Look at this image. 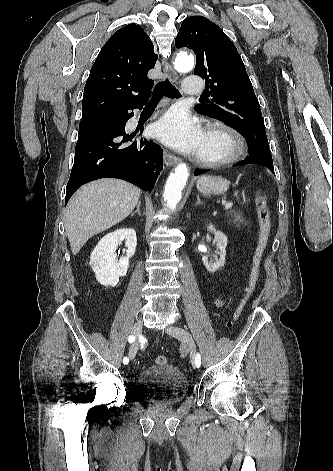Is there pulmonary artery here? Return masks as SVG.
I'll return each instance as SVG.
<instances>
[{"label":"pulmonary artery","mask_w":333,"mask_h":471,"mask_svg":"<svg viewBox=\"0 0 333 471\" xmlns=\"http://www.w3.org/2000/svg\"><path fill=\"white\" fill-rule=\"evenodd\" d=\"M203 90V81L200 77L191 75L184 84V92L187 95H198Z\"/></svg>","instance_id":"1"}]
</instances>
